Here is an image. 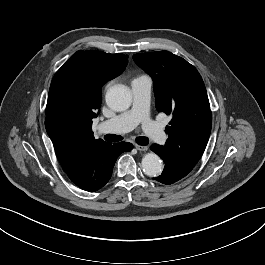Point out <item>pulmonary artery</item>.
<instances>
[{"label": "pulmonary artery", "mask_w": 265, "mask_h": 265, "mask_svg": "<svg viewBox=\"0 0 265 265\" xmlns=\"http://www.w3.org/2000/svg\"><path fill=\"white\" fill-rule=\"evenodd\" d=\"M152 82L148 76L138 77L131 82L132 106L116 117L100 123L102 132L110 129L115 133H124L141 125L142 130L156 143L164 144L167 136L163 128L149 116V102Z\"/></svg>", "instance_id": "1"}]
</instances>
